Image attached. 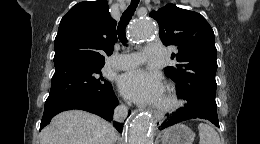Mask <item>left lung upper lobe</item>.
<instances>
[{
    "mask_svg": "<svg viewBox=\"0 0 260 144\" xmlns=\"http://www.w3.org/2000/svg\"><path fill=\"white\" fill-rule=\"evenodd\" d=\"M150 17L159 24L163 44L178 49L171 56L177 64L166 67L164 73L176 82L177 95L187 100L185 108L200 103L216 105L217 50L209 23L201 14L173 4L151 11Z\"/></svg>",
    "mask_w": 260,
    "mask_h": 144,
    "instance_id": "1",
    "label": "left lung upper lobe"
}]
</instances>
